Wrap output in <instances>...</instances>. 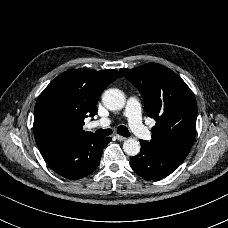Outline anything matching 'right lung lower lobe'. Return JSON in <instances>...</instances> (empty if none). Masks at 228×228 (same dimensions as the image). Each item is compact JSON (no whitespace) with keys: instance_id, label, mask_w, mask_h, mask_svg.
Returning a JSON list of instances; mask_svg holds the SVG:
<instances>
[{"instance_id":"98d812e1","label":"right lung lower lobe","mask_w":228,"mask_h":228,"mask_svg":"<svg viewBox=\"0 0 228 228\" xmlns=\"http://www.w3.org/2000/svg\"><path fill=\"white\" fill-rule=\"evenodd\" d=\"M110 141V137L86 136L41 154L57 174L68 179H80L98 167L103 148Z\"/></svg>"}]
</instances>
